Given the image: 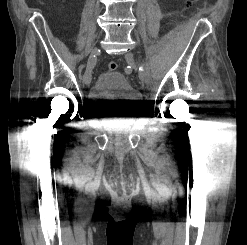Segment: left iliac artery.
Wrapping results in <instances>:
<instances>
[{"label":"left iliac artery","mask_w":247,"mask_h":245,"mask_svg":"<svg viewBox=\"0 0 247 245\" xmlns=\"http://www.w3.org/2000/svg\"><path fill=\"white\" fill-rule=\"evenodd\" d=\"M143 70H144L143 66H140L139 71H143Z\"/></svg>","instance_id":"1"}]
</instances>
